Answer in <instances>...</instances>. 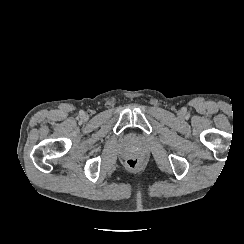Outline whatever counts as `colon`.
<instances>
[{
	"label": "colon",
	"instance_id": "obj_1",
	"mask_svg": "<svg viewBox=\"0 0 244 244\" xmlns=\"http://www.w3.org/2000/svg\"><path fill=\"white\" fill-rule=\"evenodd\" d=\"M128 165H129V167H131V168H136V167H138V165H139V160H138V158H136V157H131V158H129V160H128Z\"/></svg>",
	"mask_w": 244,
	"mask_h": 244
}]
</instances>
